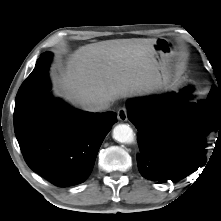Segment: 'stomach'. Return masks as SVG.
Wrapping results in <instances>:
<instances>
[{
	"mask_svg": "<svg viewBox=\"0 0 221 221\" xmlns=\"http://www.w3.org/2000/svg\"><path fill=\"white\" fill-rule=\"evenodd\" d=\"M153 50V58L158 64L160 82L158 90L173 89L172 61L175 56L174 45L168 39L159 38L153 45Z\"/></svg>",
	"mask_w": 221,
	"mask_h": 221,
	"instance_id": "1",
	"label": "stomach"
}]
</instances>
